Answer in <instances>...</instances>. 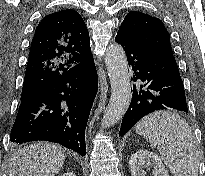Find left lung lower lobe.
<instances>
[{
	"instance_id": "left-lung-lower-lobe-1",
	"label": "left lung lower lobe",
	"mask_w": 205,
	"mask_h": 176,
	"mask_svg": "<svg viewBox=\"0 0 205 176\" xmlns=\"http://www.w3.org/2000/svg\"><path fill=\"white\" fill-rule=\"evenodd\" d=\"M115 40L127 56L133 71L132 99L126 111L119 136L127 133L134 124L157 110H179L188 113L184 86L174 56H167L133 43L118 31Z\"/></svg>"
}]
</instances>
